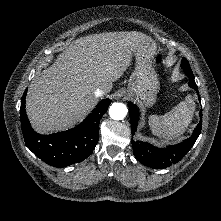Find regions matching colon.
I'll return each instance as SVG.
<instances>
[{
    "label": "colon",
    "mask_w": 221,
    "mask_h": 221,
    "mask_svg": "<svg viewBox=\"0 0 221 221\" xmlns=\"http://www.w3.org/2000/svg\"><path fill=\"white\" fill-rule=\"evenodd\" d=\"M157 60L160 62L162 60V54H159Z\"/></svg>",
    "instance_id": "5ec220e1"
}]
</instances>
